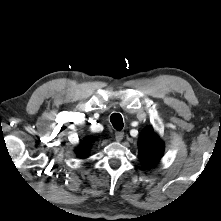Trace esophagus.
<instances>
[{
	"label": "esophagus",
	"instance_id": "34e87169",
	"mask_svg": "<svg viewBox=\"0 0 221 221\" xmlns=\"http://www.w3.org/2000/svg\"><path fill=\"white\" fill-rule=\"evenodd\" d=\"M115 138L117 141H121L124 138V132H122V131L116 132Z\"/></svg>",
	"mask_w": 221,
	"mask_h": 221
}]
</instances>
